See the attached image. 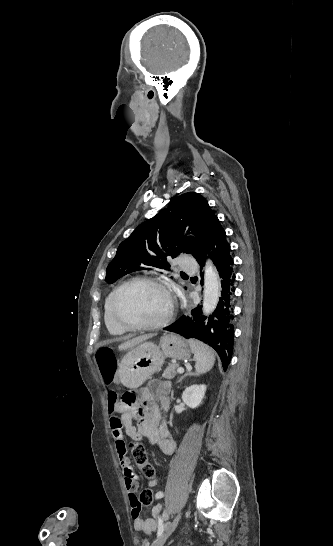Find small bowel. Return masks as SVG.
Returning <instances> with one entry per match:
<instances>
[{"instance_id": "obj_1", "label": "small bowel", "mask_w": 333, "mask_h": 546, "mask_svg": "<svg viewBox=\"0 0 333 546\" xmlns=\"http://www.w3.org/2000/svg\"><path fill=\"white\" fill-rule=\"evenodd\" d=\"M115 386H120L121 375L112 371ZM171 385L167 381H153L137 393V403L126 406L123 403L110 402V412L119 413L110 417V430L115 443L119 465L124 474V484L128 492L133 526L136 531L152 534L158 528V520L167 518L163 505L157 504L152 510V516L143 518L141 506L138 503V476L130 465L124 432L136 442L146 439L151 446H157L165 455L173 454L176 443L164 424V415L169 407V392ZM136 421V424H133ZM157 476L150 478V484L155 485ZM157 499L164 497L163 492L156 494Z\"/></svg>"}]
</instances>
